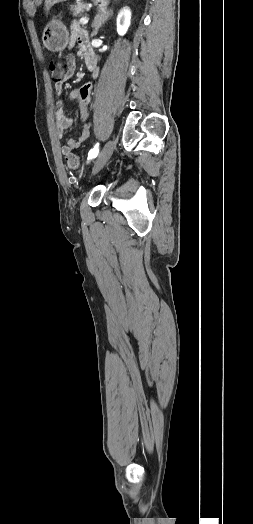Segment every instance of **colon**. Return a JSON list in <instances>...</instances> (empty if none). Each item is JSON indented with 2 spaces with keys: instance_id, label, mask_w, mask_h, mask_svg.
Wrapping results in <instances>:
<instances>
[{
  "instance_id": "5ec220e1",
  "label": "colon",
  "mask_w": 253,
  "mask_h": 524,
  "mask_svg": "<svg viewBox=\"0 0 253 524\" xmlns=\"http://www.w3.org/2000/svg\"><path fill=\"white\" fill-rule=\"evenodd\" d=\"M49 69L51 71V77L53 81L60 82V76L66 71V63H63L60 60H52L49 63ZM67 162L70 168L78 169L81 167V162L78 156L70 154L67 157Z\"/></svg>"
}]
</instances>
